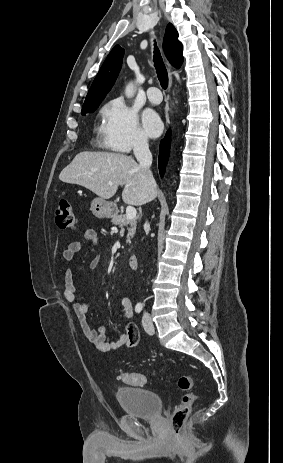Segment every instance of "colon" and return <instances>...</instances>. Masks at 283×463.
I'll return each instance as SVG.
<instances>
[{
    "label": "colon",
    "mask_w": 283,
    "mask_h": 463,
    "mask_svg": "<svg viewBox=\"0 0 283 463\" xmlns=\"http://www.w3.org/2000/svg\"><path fill=\"white\" fill-rule=\"evenodd\" d=\"M56 222L59 228L63 230H72L76 226L72 204L69 200L62 199L59 202L56 211ZM120 378L123 382L132 386H142L148 382V377L141 373L122 372ZM177 386L184 392L179 406L175 409L171 417V428L174 437H180L183 426L196 402V394L192 391L194 380L189 375H180L177 377Z\"/></svg>",
    "instance_id": "colon-1"
}]
</instances>
